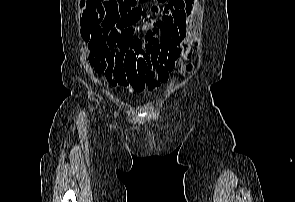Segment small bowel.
<instances>
[{"instance_id": "c3829d8e", "label": "small bowel", "mask_w": 295, "mask_h": 202, "mask_svg": "<svg viewBox=\"0 0 295 202\" xmlns=\"http://www.w3.org/2000/svg\"><path fill=\"white\" fill-rule=\"evenodd\" d=\"M86 21L113 19L106 47H92L89 61L113 85L141 92L166 81L190 35L194 0L137 4L123 17L106 14L102 0H80ZM163 55V56H162Z\"/></svg>"}]
</instances>
